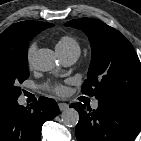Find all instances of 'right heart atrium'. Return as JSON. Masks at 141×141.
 <instances>
[{
	"label": "right heart atrium",
	"mask_w": 141,
	"mask_h": 141,
	"mask_svg": "<svg viewBox=\"0 0 141 141\" xmlns=\"http://www.w3.org/2000/svg\"><path fill=\"white\" fill-rule=\"evenodd\" d=\"M36 49H37V45L34 42H32L28 46V48H27V51H26V62H27L28 67L32 66L33 58H34Z\"/></svg>",
	"instance_id": "right-heart-atrium-1"
}]
</instances>
